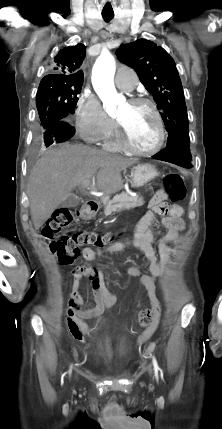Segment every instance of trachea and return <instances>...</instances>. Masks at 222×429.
Wrapping results in <instances>:
<instances>
[{
	"label": "trachea",
	"instance_id": "obj_1",
	"mask_svg": "<svg viewBox=\"0 0 222 429\" xmlns=\"http://www.w3.org/2000/svg\"><path fill=\"white\" fill-rule=\"evenodd\" d=\"M102 17H103L105 22H109L111 19H113L114 13L113 12H103Z\"/></svg>",
	"mask_w": 222,
	"mask_h": 429
}]
</instances>
